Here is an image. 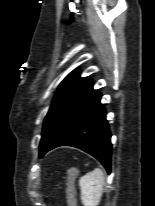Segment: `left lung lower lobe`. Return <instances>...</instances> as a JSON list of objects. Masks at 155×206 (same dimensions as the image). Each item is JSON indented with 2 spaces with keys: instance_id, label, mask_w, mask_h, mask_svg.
I'll return each mask as SVG.
<instances>
[{
  "instance_id": "0a47b994",
  "label": "left lung lower lobe",
  "mask_w": 155,
  "mask_h": 206,
  "mask_svg": "<svg viewBox=\"0 0 155 206\" xmlns=\"http://www.w3.org/2000/svg\"><path fill=\"white\" fill-rule=\"evenodd\" d=\"M110 139L111 133L106 120L105 108L99 99L62 137L45 151L41 152L39 157H42L53 148L72 146L94 156L110 173L112 152Z\"/></svg>"
}]
</instances>
